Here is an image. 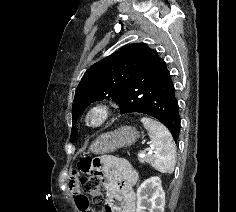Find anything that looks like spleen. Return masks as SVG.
I'll return each mask as SVG.
<instances>
[{
  "label": "spleen",
  "mask_w": 236,
  "mask_h": 212,
  "mask_svg": "<svg viewBox=\"0 0 236 212\" xmlns=\"http://www.w3.org/2000/svg\"><path fill=\"white\" fill-rule=\"evenodd\" d=\"M141 122L148 131L154 154L151 165L161 173H172L176 163V147L169 130L160 122L143 117Z\"/></svg>",
  "instance_id": "1"
}]
</instances>
